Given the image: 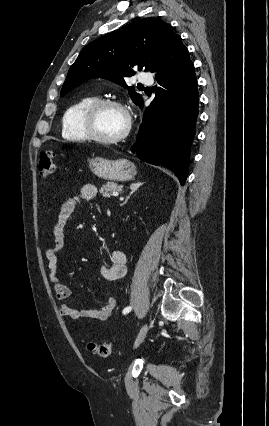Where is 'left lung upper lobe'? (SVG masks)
Segmentation results:
<instances>
[{"instance_id": "5c2ea615", "label": "left lung upper lobe", "mask_w": 269, "mask_h": 426, "mask_svg": "<svg viewBox=\"0 0 269 426\" xmlns=\"http://www.w3.org/2000/svg\"><path fill=\"white\" fill-rule=\"evenodd\" d=\"M179 35L164 21L146 18L128 24L86 45L70 67L61 96L91 78H105L122 85L136 105L143 99L124 81L133 68L151 71Z\"/></svg>"}]
</instances>
